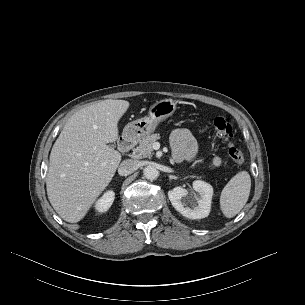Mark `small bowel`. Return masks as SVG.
Wrapping results in <instances>:
<instances>
[{
	"label": "small bowel",
	"instance_id": "small-bowel-1",
	"mask_svg": "<svg viewBox=\"0 0 305 305\" xmlns=\"http://www.w3.org/2000/svg\"><path fill=\"white\" fill-rule=\"evenodd\" d=\"M172 156L176 162L184 160L193 161L197 157L198 147L192 133L187 129H176L172 132L171 138ZM221 164L219 157H214L211 167H217Z\"/></svg>",
	"mask_w": 305,
	"mask_h": 305
}]
</instances>
